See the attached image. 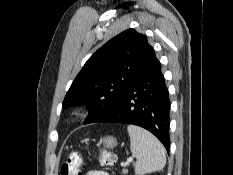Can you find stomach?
<instances>
[{
    "label": "stomach",
    "instance_id": "1",
    "mask_svg": "<svg viewBox=\"0 0 233 175\" xmlns=\"http://www.w3.org/2000/svg\"><path fill=\"white\" fill-rule=\"evenodd\" d=\"M103 144L106 148H114L117 144V141L114 137L112 136H107L103 140Z\"/></svg>",
    "mask_w": 233,
    "mask_h": 175
}]
</instances>
